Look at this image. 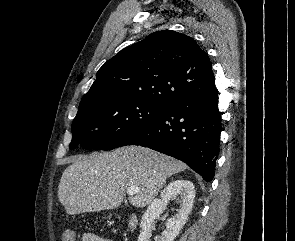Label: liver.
Instances as JSON below:
<instances>
[{
  "mask_svg": "<svg viewBox=\"0 0 295 241\" xmlns=\"http://www.w3.org/2000/svg\"><path fill=\"white\" fill-rule=\"evenodd\" d=\"M186 168L177 159L137 146L78 156L61 176L58 199L69 215L98 212L119 207L124 191L136 186L139 191L129 201L145 207L167 178Z\"/></svg>",
  "mask_w": 295,
  "mask_h": 241,
  "instance_id": "liver-1",
  "label": "liver"
}]
</instances>
